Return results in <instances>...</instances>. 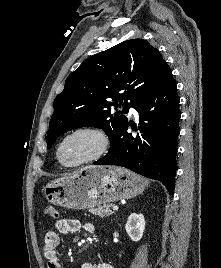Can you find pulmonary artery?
Segmentation results:
<instances>
[{"label":"pulmonary artery","mask_w":221,"mask_h":268,"mask_svg":"<svg viewBox=\"0 0 221 268\" xmlns=\"http://www.w3.org/2000/svg\"><path fill=\"white\" fill-rule=\"evenodd\" d=\"M129 112L134 115L137 114L136 110L133 107H130Z\"/></svg>","instance_id":"obj_1"}]
</instances>
